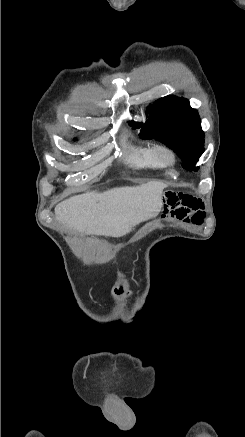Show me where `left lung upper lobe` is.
Instances as JSON below:
<instances>
[{
	"label": "left lung upper lobe",
	"mask_w": 245,
	"mask_h": 437,
	"mask_svg": "<svg viewBox=\"0 0 245 437\" xmlns=\"http://www.w3.org/2000/svg\"><path fill=\"white\" fill-rule=\"evenodd\" d=\"M146 112L149 118L143 126L129 122L134 129L142 126L140 137L166 144L181 157L185 168L197 170L194 165L204 151V133L198 112L189 101L169 95L150 105Z\"/></svg>",
	"instance_id": "obj_1"
}]
</instances>
